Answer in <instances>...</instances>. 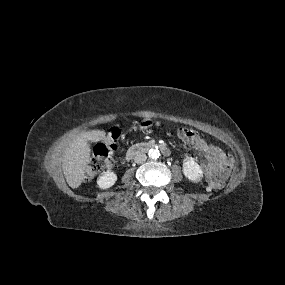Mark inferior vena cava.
Wrapping results in <instances>:
<instances>
[{"label": "inferior vena cava", "instance_id": "602c4592", "mask_svg": "<svg viewBox=\"0 0 285 285\" xmlns=\"http://www.w3.org/2000/svg\"><path fill=\"white\" fill-rule=\"evenodd\" d=\"M146 159H147V156L144 153H139L134 157V161L138 164L144 163Z\"/></svg>", "mask_w": 285, "mask_h": 285}]
</instances>
